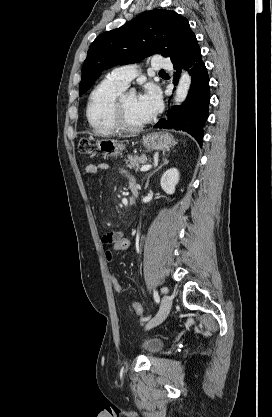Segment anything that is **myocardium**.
<instances>
[{"instance_id":"f54148a6","label":"myocardium","mask_w":272,"mask_h":417,"mask_svg":"<svg viewBox=\"0 0 272 417\" xmlns=\"http://www.w3.org/2000/svg\"><path fill=\"white\" fill-rule=\"evenodd\" d=\"M127 94L129 93L123 92L115 100V103L113 106V112H112L113 122L118 130H121L124 132L139 131L143 129L144 127H146L151 122V118L141 124H130L126 120L125 114H124V99L127 96Z\"/></svg>"}]
</instances>
